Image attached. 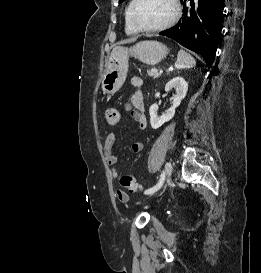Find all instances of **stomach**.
<instances>
[{"mask_svg": "<svg viewBox=\"0 0 261 273\" xmlns=\"http://www.w3.org/2000/svg\"><path fill=\"white\" fill-rule=\"evenodd\" d=\"M168 51L163 43L152 40L141 41L130 48L116 47L106 63L101 82L103 93L114 94L123 85L128 72L129 57H135L147 65H156L166 57Z\"/></svg>", "mask_w": 261, "mask_h": 273, "instance_id": "stomach-1", "label": "stomach"}]
</instances>
